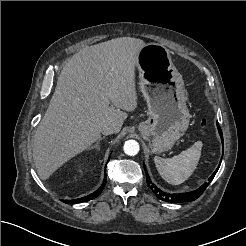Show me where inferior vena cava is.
<instances>
[{
	"label": "inferior vena cava",
	"instance_id": "inferior-vena-cava-1",
	"mask_svg": "<svg viewBox=\"0 0 246 246\" xmlns=\"http://www.w3.org/2000/svg\"><path fill=\"white\" fill-rule=\"evenodd\" d=\"M116 132V129L113 125L111 124H104L101 128V133L104 134V135H110V134H113Z\"/></svg>",
	"mask_w": 246,
	"mask_h": 246
}]
</instances>
